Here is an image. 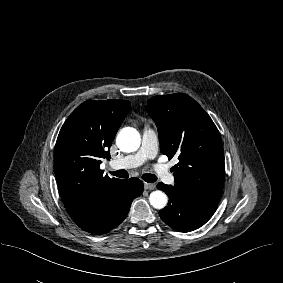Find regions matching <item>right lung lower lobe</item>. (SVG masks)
<instances>
[{
	"label": "right lung lower lobe",
	"instance_id": "obj_1",
	"mask_svg": "<svg viewBox=\"0 0 283 283\" xmlns=\"http://www.w3.org/2000/svg\"><path fill=\"white\" fill-rule=\"evenodd\" d=\"M143 189L138 178L123 180L89 216L76 224L93 234L109 232L126 218L132 201Z\"/></svg>",
	"mask_w": 283,
	"mask_h": 283
}]
</instances>
